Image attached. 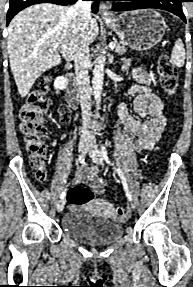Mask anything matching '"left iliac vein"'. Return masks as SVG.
<instances>
[{
  "mask_svg": "<svg viewBox=\"0 0 193 287\" xmlns=\"http://www.w3.org/2000/svg\"><path fill=\"white\" fill-rule=\"evenodd\" d=\"M88 153L95 163L105 166L102 152L97 147L95 138L92 139V142L88 148ZM131 208L135 209V204L133 202H131Z\"/></svg>",
  "mask_w": 193,
  "mask_h": 287,
  "instance_id": "left-iliac-vein-1",
  "label": "left iliac vein"
}]
</instances>
